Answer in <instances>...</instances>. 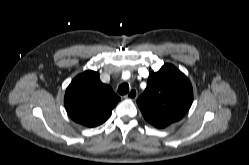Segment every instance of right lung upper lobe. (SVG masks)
Returning <instances> with one entry per match:
<instances>
[{
    "mask_svg": "<svg viewBox=\"0 0 249 165\" xmlns=\"http://www.w3.org/2000/svg\"><path fill=\"white\" fill-rule=\"evenodd\" d=\"M119 100L112 88L101 82L97 72L88 70L72 80L65 92L64 105L75 122L95 127L109 118Z\"/></svg>",
    "mask_w": 249,
    "mask_h": 165,
    "instance_id": "right-lung-upper-lobe-1",
    "label": "right lung upper lobe"
}]
</instances>
